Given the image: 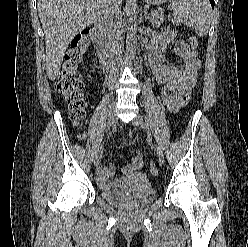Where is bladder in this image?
I'll return each mask as SVG.
<instances>
[{
    "label": "bladder",
    "instance_id": "31cf9c89",
    "mask_svg": "<svg viewBox=\"0 0 248 247\" xmlns=\"http://www.w3.org/2000/svg\"><path fill=\"white\" fill-rule=\"evenodd\" d=\"M156 193L145 173L135 172L124 192L101 190V196L108 202L121 207L143 206L152 200Z\"/></svg>",
    "mask_w": 248,
    "mask_h": 247
}]
</instances>
